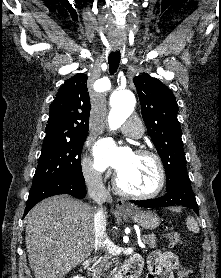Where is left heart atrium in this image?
Segmentation results:
<instances>
[{"label": "left heart atrium", "mask_w": 221, "mask_h": 278, "mask_svg": "<svg viewBox=\"0 0 221 278\" xmlns=\"http://www.w3.org/2000/svg\"><path fill=\"white\" fill-rule=\"evenodd\" d=\"M131 154L130 149L119 148L110 139L99 141L94 148L95 161L99 169L111 167L119 171Z\"/></svg>", "instance_id": "39dd6f15"}]
</instances>
